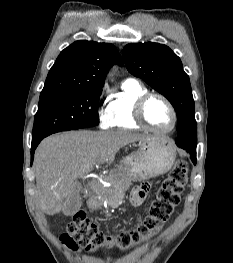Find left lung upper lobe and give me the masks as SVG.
Returning <instances> with one entry per match:
<instances>
[{
    "label": "left lung upper lobe",
    "instance_id": "obj_1",
    "mask_svg": "<svg viewBox=\"0 0 233 263\" xmlns=\"http://www.w3.org/2000/svg\"><path fill=\"white\" fill-rule=\"evenodd\" d=\"M122 55L132 75L142 78L173 105L177 114L176 143L196 146L194 100L180 58L169 47L152 42L128 44Z\"/></svg>",
    "mask_w": 233,
    "mask_h": 263
}]
</instances>
